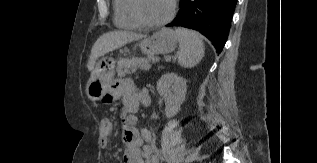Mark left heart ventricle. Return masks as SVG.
<instances>
[{
    "label": "left heart ventricle",
    "instance_id": "1",
    "mask_svg": "<svg viewBox=\"0 0 317 163\" xmlns=\"http://www.w3.org/2000/svg\"><path fill=\"white\" fill-rule=\"evenodd\" d=\"M171 2L172 0H140V9L146 20L157 22L169 14Z\"/></svg>",
    "mask_w": 317,
    "mask_h": 163
}]
</instances>
